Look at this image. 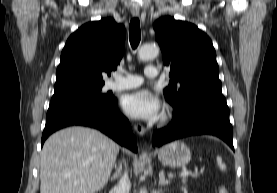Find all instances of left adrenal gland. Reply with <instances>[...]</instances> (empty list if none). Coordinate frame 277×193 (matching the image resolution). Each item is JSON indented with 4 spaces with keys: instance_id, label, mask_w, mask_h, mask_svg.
<instances>
[{
    "instance_id": "left-adrenal-gland-1",
    "label": "left adrenal gland",
    "mask_w": 277,
    "mask_h": 193,
    "mask_svg": "<svg viewBox=\"0 0 277 193\" xmlns=\"http://www.w3.org/2000/svg\"><path fill=\"white\" fill-rule=\"evenodd\" d=\"M159 186H165L170 184V179H166L165 178V174H164V170H161L159 173V182H158Z\"/></svg>"
}]
</instances>
